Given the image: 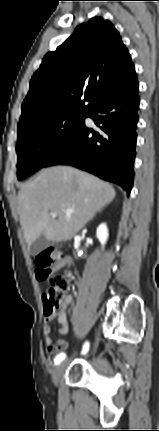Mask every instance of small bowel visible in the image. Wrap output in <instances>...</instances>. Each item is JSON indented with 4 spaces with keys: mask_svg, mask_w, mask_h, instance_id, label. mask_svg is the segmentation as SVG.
Returning <instances> with one entry per match:
<instances>
[{
    "mask_svg": "<svg viewBox=\"0 0 159 431\" xmlns=\"http://www.w3.org/2000/svg\"><path fill=\"white\" fill-rule=\"evenodd\" d=\"M69 263H70V259L65 258L60 263V266L67 265ZM71 303H72V297L70 295L66 296L61 304L60 310L57 315V319L60 324V328L58 331L61 335H65L69 331L67 308L69 305H71ZM42 333L44 338V345L50 354L58 355L68 348V342L64 339L58 340L55 344L53 343L52 336H51V327L48 324V320H46L43 326Z\"/></svg>",
    "mask_w": 159,
    "mask_h": 431,
    "instance_id": "obj_1",
    "label": "small bowel"
}]
</instances>
